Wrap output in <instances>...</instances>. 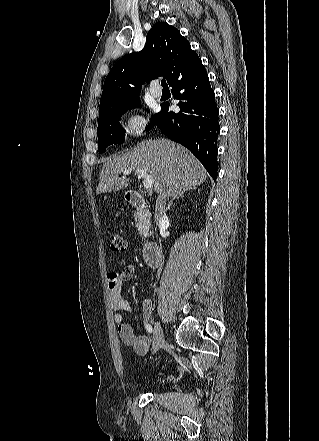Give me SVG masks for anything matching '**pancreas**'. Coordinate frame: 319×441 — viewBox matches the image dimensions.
<instances>
[{"mask_svg":"<svg viewBox=\"0 0 319 441\" xmlns=\"http://www.w3.org/2000/svg\"><path fill=\"white\" fill-rule=\"evenodd\" d=\"M134 217L139 234L142 236L143 239H145L148 236V231L151 226V214L148 210H137L134 214Z\"/></svg>","mask_w":319,"mask_h":441,"instance_id":"cf45deb5","label":"pancreas"}]
</instances>
